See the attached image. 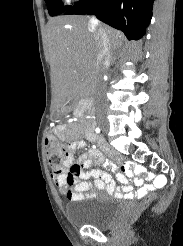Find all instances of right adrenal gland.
<instances>
[{"mask_svg": "<svg viewBox=\"0 0 183 246\" xmlns=\"http://www.w3.org/2000/svg\"><path fill=\"white\" fill-rule=\"evenodd\" d=\"M115 55H116V52L115 51H112V63H114V61H115Z\"/></svg>", "mask_w": 183, "mask_h": 246, "instance_id": "right-adrenal-gland-1", "label": "right adrenal gland"}]
</instances>
